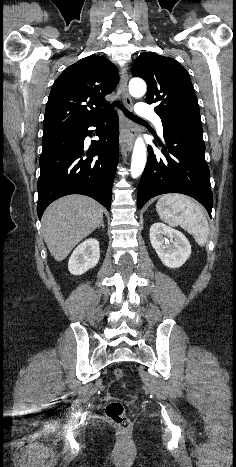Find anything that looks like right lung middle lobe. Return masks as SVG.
<instances>
[{
	"label": "right lung middle lobe",
	"instance_id": "dd1d6c3e",
	"mask_svg": "<svg viewBox=\"0 0 236 467\" xmlns=\"http://www.w3.org/2000/svg\"><path fill=\"white\" fill-rule=\"evenodd\" d=\"M57 133H60V132H57ZM57 133H48V134H43V137H47V136L54 135V134H57Z\"/></svg>",
	"mask_w": 236,
	"mask_h": 467
}]
</instances>
